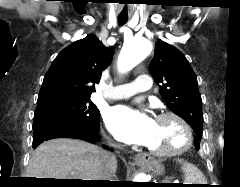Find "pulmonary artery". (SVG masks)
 Masks as SVG:
<instances>
[{
    "label": "pulmonary artery",
    "instance_id": "obj_1",
    "mask_svg": "<svg viewBox=\"0 0 240 187\" xmlns=\"http://www.w3.org/2000/svg\"><path fill=\"white\" fill-rule=\"evenodd\" d=\"M151 87V78L148 74H140L133 82L119 85L109 93L108 97L113 100L126 99L139 93L148 91Z\"/></svg>",
    "mask_w": 240,
    "mask_h": 187
}]
</instances>
